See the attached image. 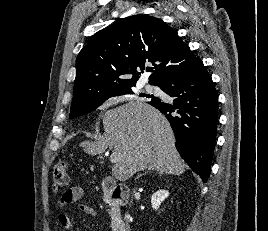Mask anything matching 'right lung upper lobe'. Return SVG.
Wrapping results in <instances>:
<instances>
[{"instance_id": "cb5924a9", "label": "right lung upper lobe", "mask_w": 268, "mask_h": 231, "mask_svg": "<svg viewBox=\"0 0 268 231\" xmlns=\"http://www.w3.org/2000/svg\"><path fill=\"white\" fill-rule=\"evenodd\" d=\"M147 63L154 66L149 83L161 86L201 61L161 19L129 16L96 32L80 51L72 103H90L135 86Z\"/></svg>"}]
</instances>
